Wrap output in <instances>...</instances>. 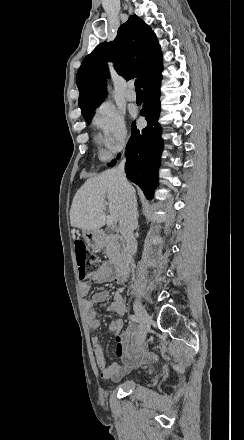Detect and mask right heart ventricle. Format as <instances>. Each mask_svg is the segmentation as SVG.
Segmentation results:
<instances>
[{
    "label": "right heart ventricle",
    "instance_id": "e07e8e85",
    "mask_svg": "<svg viewBox=\"0 0 244 440\" xmlns=\"http://www.w3.org/2000/svg\"><path fill=\"white\" fill-rule=\"evenodd\" d=\"M96 142H99V137H96Z\"/></svg>",
    "mask_w": 244,
    "mask_h": 440
}]
</instances>
